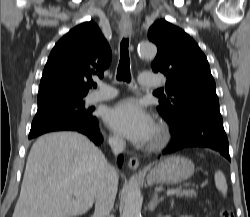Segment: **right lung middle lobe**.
<instances>
[{"label":"right lung middle lobe","instance_id":"1","mask_svg":"<svg viewBox=\"0 0 250 217\" xmlns=\"http://www.w3.org/2000/svg\"><path fill=\"white\" fill-rule=\"evenodd\" d=\"M84 105L83 99H78L38 108L29 139L51 131L91 127L97 119L91 114L93 110L86 109Z\"/></svg>","mask_w":250,"mask_h":217}]
</instances>
